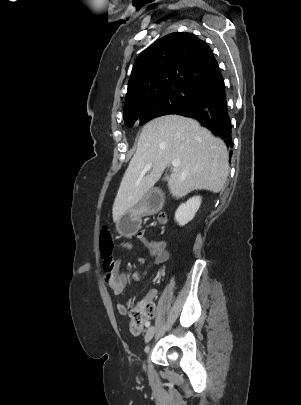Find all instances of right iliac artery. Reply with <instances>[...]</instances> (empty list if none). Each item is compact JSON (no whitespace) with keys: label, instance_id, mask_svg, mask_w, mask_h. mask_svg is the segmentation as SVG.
Instances as JSON below:
<instances>
[{"label":"right iliac artery","instance_id":"right-iliac-artery-1","mask_svg":"<svg viewBox=\"0 0 301 405\" xmlns=\"http://www.w3.org/2000/svg\"><path fill=\"white\" fill-rule=\"evenodd\" d=\"M145 326H146V327H149V326H150V322H149V321L146 322Z\"/></svg>","mask_w":301,"mask_h":405}]
</instances>
